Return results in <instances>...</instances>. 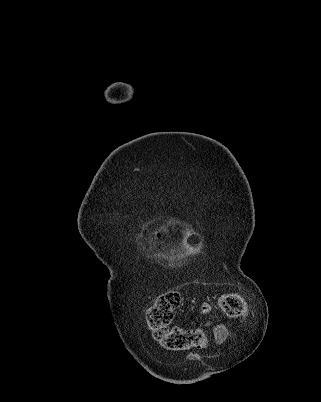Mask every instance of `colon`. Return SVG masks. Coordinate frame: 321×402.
Listing matches in <instances>:
<instances>
[{"mask_svg":"<svg viewBox=\"0 0 321 402\" xmlns=\"http://www.w3.org/2000/svg\"><path fill=\"white\" fill-rule=\"evenodd\" d=\"M181 304L178 291L170 290L160 295L148 307L145 320L152 338L169 351H186L194 348H206L209 340L205 331L199 328L172 326L177 308ZM218 305L229 317L242 319L247 314L245 299L237 293H225L219 296Z\"/></svg>","mask_w":321,"mask_h":402,"instance_id":"5ec220e1","label":"colon"}]
</instances>
